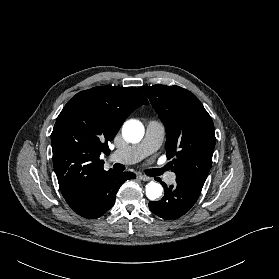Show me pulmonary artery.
Listing matches in <instances>:
<instances>
[{
	"label": "pulmonary artery",
	"instance_id": "pulmonary-artery-1",
	"mask_svg": "<svg viewBox=\"0 0 279 279\" xmlns=\"http://www.w3.org/2000/svg\"><path fill=\"white\" fill-rule=\"evenodd\" d=\"M165 135L164 125L156 120L147 123L145 137L139 144L125 149L114 151L110 158L113 161L123 164H132L154 153L162 144ZM168 183L175 182V174L169 173L166 176Z\"/></svg>",
	"mask_w": 279,
	"mask_h": 279
}]
</instances>
